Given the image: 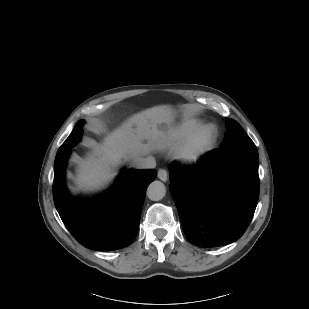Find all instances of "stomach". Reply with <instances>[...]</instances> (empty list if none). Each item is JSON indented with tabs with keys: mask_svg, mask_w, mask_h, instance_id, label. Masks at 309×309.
<instances>
[{
	"mask_svg": "<svg viewBox=\"0 0 309 309\" xmlns=\"http://www.w3.org/2000/svg\"><path fill=\"white\" fill-rule=\"evenodd\" d=\"M181 108L184 110V109H186V106H181Z\"/></svg>",
	"mask_w": 309,
	"mask_h": 309,
	"instance_id": "0dacf381",
	"label": "stomach"
}]
</instances>
